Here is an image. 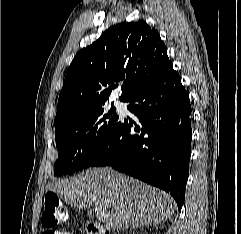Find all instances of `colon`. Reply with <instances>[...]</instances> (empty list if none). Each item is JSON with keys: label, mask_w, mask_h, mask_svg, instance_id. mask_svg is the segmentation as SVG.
Here are the masks:
<instances>
[{"label": "colon", "mask_w": 241, "mask_h": 234, "mask_svg": "<svg viewBox=\"0 0 241 234\" xmlns=\"http://www.w3.org/2000/svg\"><path fill=\"white\" fill-rule=\"evenodd\" d=\"M68 209L59 197L54 193H49L45 197V210L42 215V224L48 229H52L68 219Z\"/></svg>", "instance_id": "5ec220e1"}]
</instances>
